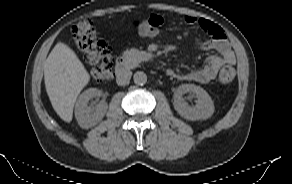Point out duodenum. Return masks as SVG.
Returning <instances> with one entry per match:
<instances>
[{
    "instance_id": "obj_1",
    "label": "duodenum",
    "mask_w": 292,
    "mask_h": 184,
    "mask_svg": "<svg viewBox=\"0 0 292 184\" xmlns=\"http://www.w3.org/2000/svg\"><path fill=\"white\" fill-rule=\"evenodd\" d=\"M115 69H116V73L117 76L119 78H124L125 74H126V63L122 58H117L116 60V64H115Z\"/></svg>"
}]
</instances>
